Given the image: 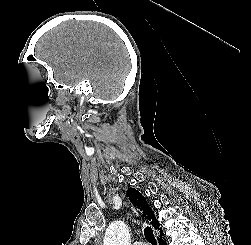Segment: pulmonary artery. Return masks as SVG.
I'll return each instance as SVG.
<instances>
[{"instance_id":"e3ab8cb5","label":"pulmonary artery","mask_w":251,"mask_h":245,"mask_svg":"<svg viewBox=\"0 0 251 245\" xmlns=\"http://www.w3.org/2000/svg\"><path fill=\"white\" fill-rule=\"evenodd\" d=\"M134 245H148L146 242H136Z\"/></svg>"}]
</instances>
